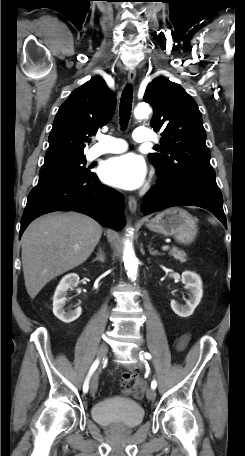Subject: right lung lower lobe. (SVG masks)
Here are the masks:
<instances>
[{"label":"right lung lower lobe","mask_w":245,"mask_h":456,"mask_svg":"<svg viewBox=\"0 0 245 456\" xmlns=\"http://www.w3.org/2000/svg\"><path fill=\"white\" fill-rule=\"evenodd\" d=\"M124 198L100 183L96 174L86 179L36 186L29 194L19 237L35 218L53 211L74 210L100 224L120 230L125 225Z\"/></svg>","instance_id":"1"}]
</instances>
